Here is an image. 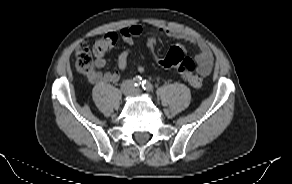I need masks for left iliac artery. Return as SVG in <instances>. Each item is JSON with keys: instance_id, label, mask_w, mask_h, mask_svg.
Listing matches in <instances>:
<instances>
[{"instance_id": "1", "label": "left iliac artery", "mask_w": 292, "mask_h": 184, "mask_svg": "<svg viewBox=\"0 0 292 184\" xmlns=\"http://www.w3.org/2000/svg\"><path fill=\"white\" fill-rule=\"evenodd\" d=\"M142 88L144 90H146L147 92H152L153 91V85L150 82L146 81V80L142 81Z\"/></svg>"}]
</instances>
